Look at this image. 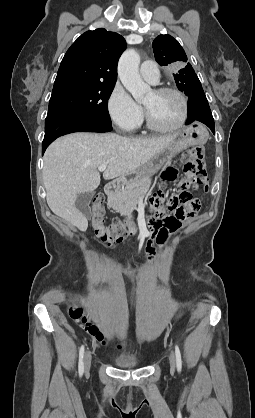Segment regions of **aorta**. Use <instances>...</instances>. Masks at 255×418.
<instances>
[{
	"label": "aorta",
	"mask_w": 255,
	"mask_h": 418,
	"mask_svg": "<svg viewBox=\"0 0 255 418\" xmlns=\"http://www.w3.org/2000/svg\"><path fill=\"white\" fill-rule=\"evenodd\" d=\"M139 54L134 49L126 50L118 63V75L124 87L137 102H142L151 93V87L139 75Z\"/></svg>",
	"instance_id": "1"
}]
</instances>
